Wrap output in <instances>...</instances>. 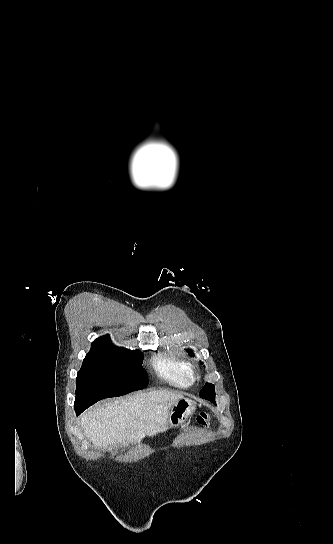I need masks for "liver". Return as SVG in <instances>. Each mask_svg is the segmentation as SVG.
Wrapping results in <instances>:
<instances>
[{
	"mask_svg": "<svg viewBox=\"0 0 333 544\" xmlns=\"http://www.w3.org/2000/svg\"><path fill=\"white\" fill-rule=\"evenodd\" d=\"M183 396L152 390L107 402L81 415L85 436L99 447L139 443L145 435L165 432L172 406Z\"/></svg>",
	"mask_w": 333,
	"mask_h": 544,
	"instance_id": "1",
	"label": "liver"
}]
</instances>
